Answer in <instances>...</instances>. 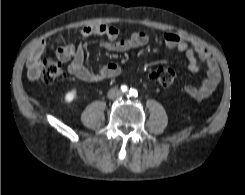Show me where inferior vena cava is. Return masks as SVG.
Returning a JSON list of instances; mask_svg holds the SVG:
<instances>
[{
	"instance_id": "602c4592",
	"label": "inferior vena cava",
	"mask_w": 245,
	"mask_h": 195,
	"mask_svg": "<svg viewBox=\"0 0 245 195\" xmlns=\"http://www.w3.org/2000/svg\"><path fill=\"white\" fill-rule=\"evenodd\" d=\"M122 96V92L119 89H111L108 92V98L116 99Z\"/></svg>"
}]
</instances>
